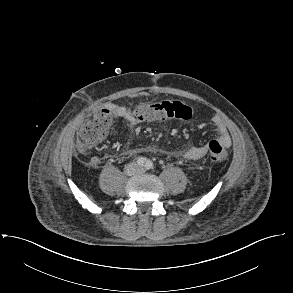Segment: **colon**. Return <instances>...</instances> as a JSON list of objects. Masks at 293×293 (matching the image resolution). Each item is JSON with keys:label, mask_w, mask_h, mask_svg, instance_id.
<instances>
[{"label": "colon", "mask_w": 293, "mask_h": 293, "mask_svg": "<svg viewBox=\"0 0 293 293\" xmlns=\"http://www.w3.org/2000/svg\"><path fill=\"white\" fill-rule=\"evenodd\" d=\"M193 110L178 100H168L153 104L139 105L135 116L141 121L153 122L167 118L190 119ZM113 123V114L108 109H101L90 114L80 127L76 140V153L84 157L97 143L107 135ZM209 159L220 162L227 158V150L217 141L208 144Z\"/></svg>", "instance_id": "1"}]
</instances>
